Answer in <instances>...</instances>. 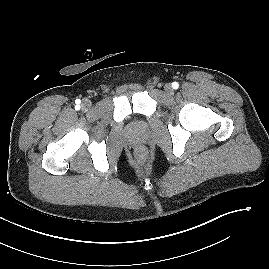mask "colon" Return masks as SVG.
<instances>
[{"instance_id":"colon-1","label":"colon","mask_w":269,"mask_h":269,"mask_svg":"<svg viewBox=\"0 0 269 269\" xmlns=\"http://www.w3.org/2000/svg\"><path fill=\"white\" fill-rule=\"evenodd\" d=\"M136 158H137L139 161H143V160L145 159V151H144L142 148H139V149H138Z\"/></svg>"}]
</instances>
